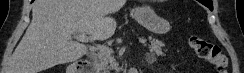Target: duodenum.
Here are the masks:
<instances>
[{
    "mask_svg": "<svg viewBox=\"0 0 244 73\" xmlns=\"http://www.w3.org/2000/svg\"><path fill=\"white\" fill-rule=\"evenodd\" d=\"M68 73H95L93 66L89 62H77L73 61L69 65ZM131 73H137L136 70H132Z\"/></svg>",
    "mask_w": 244,
    "mask_h": 73,
    "instance_id": "obj_1",
    "label": "duodenum"
}]
</instances>
